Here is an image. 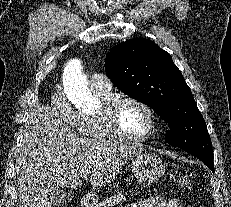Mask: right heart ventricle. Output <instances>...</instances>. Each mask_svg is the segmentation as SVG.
<instances>
[{
    "label": "right heart ventricle",
    "mask_w": 231,
    "mask_h": 207,
    "mask_svg": "<svg viewBox=\"0 0 231 207\" xmlns=\"http://www.w3.org/2000/svg\"><path fill=\"white\" fill-rule=\"evenodd\" d=\"M93 91L94 94L101 100L103 105L113 99V94L111 91L110 92H104L98 90H93ZM101 111L91 115L88 114L80 115V124L78 130L81 136L96 141H105L114 138L111 135V133L106 129V126L104 124L101 115Z\"/></svg>",
    "instance_id": "obj_1"
}]
</instances>
